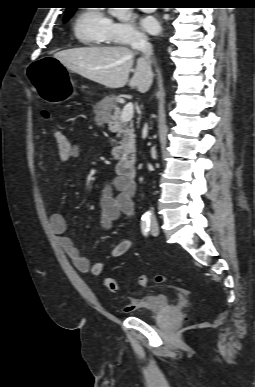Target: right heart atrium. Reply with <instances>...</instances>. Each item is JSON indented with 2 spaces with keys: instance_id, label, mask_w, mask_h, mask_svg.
<instances>
[{
  "instance_id": "obj_1",
  "label": "right heart atrium",
  "mask_w": 255,
  "mask_h": 387,
  "mask_svg": "<svg viewBox=\"0 0 255 387\" xmlns=\"http://www.w3.org/2000/svg\"><path fill=\"white\" fill-rule=\"evenodd\" d=\"M108 38L111 43L118 45H133L147 39L130 20L111 21L108 26Z\"/></svg>"
}]
</instances>
